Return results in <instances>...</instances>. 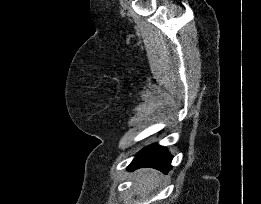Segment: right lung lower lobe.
<instances>
[{"mask_svg": "<svg viewBox=\"0 0 261 204\" xmlns=\"http://www.w3.org/2000/svg\"><path fill=\"white\" fill-rule=\"evenodd\" d=\"M172 156L165 147L157 144L145 147L141 150L129 165V170L140 167H152L167 173L171 168Z\"/></svg>", "mask_w": 261, "mask_h": 204, "instance_id": "1", "label": "right lung lower lobe"}]
</instances>
